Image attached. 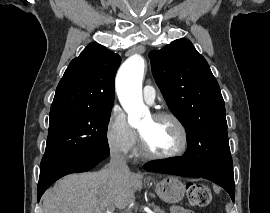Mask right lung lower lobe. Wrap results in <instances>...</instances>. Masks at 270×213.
<instances>
[{"mask_svg": "<svg viewBox=\"0 0 270 213\" xmlns=\"http://www.w3.org/2000/svg\"><path fill=\"white\" fill-rule=\"evenodd\" d=\"M109 151H100L85 157L48 160L41 162L38 183V201L45 190L59 178L71 174L86 172L94 168L99 162L107 158Z\"/></svg>", "mask_w": 270, "mask_h": 213, "instance_id": "1", "label": "right lung lower lobe"}]
</instances>
